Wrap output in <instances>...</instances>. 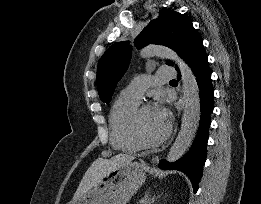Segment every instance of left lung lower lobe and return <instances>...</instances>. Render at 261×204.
I'll use <instances>...</instances> for the list:
<instances>
[{
    "label": "left lung lower lobe",
    "instance_id": "obj_1",
    "mask_svg": "<svg viewBox=\"0 0 261 204\" xmlns=\"http://www.w3.org/2000/svg\"><path fill=\"white\" fill-rule=\"evenodd\" d=\"M183 59L192 69L199 88L200 121L198 132L190 150L178 161L159 163L161 169L178 170L185 173L191 180L194 193L198 190V183L202 177L203 165L207 155L208 129L211 124L210 115L214 106V89L211 84V71L208 66L207 54L204 50L203 40L196 34L189 43ZM178 70V68H176ZM179 71V70H178ZM180 79V74L178 80Z\"/></svg>",
    "mask_w": 261,
    "mask_h": 204
}]
</instances>
